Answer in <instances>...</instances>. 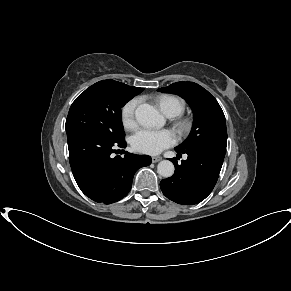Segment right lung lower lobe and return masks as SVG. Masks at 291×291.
Returning a JSON list of instances; mask_svg holds the SVG:
<instances>
[{"instance_id":"right-lung-lower-lobe-1","label":"right lung lower lobe","mask_w":291,"mask_h":291,"mask_svg":"<svg viewBox=\"0 0 291 291\" xmlns=\"http://www.w3.org/2000/svg\"><path fill=\"white\" fill-rule=\"evenodd\" d=\"M67 140L73 176L81 191L98 203L125 197L135 172L151 163L147 155L126 152L124 157H114V147L125 148L124 140L114 143L83 131H68Z\"/></svg>"}]
</instances>
